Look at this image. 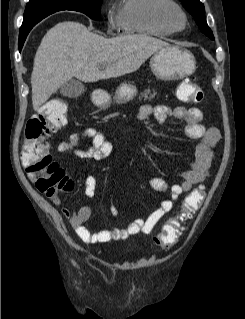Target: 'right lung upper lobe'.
Returning <instances> with one entry per match:
<instances>
[{"label":"right lung upper lobe","instance_id":"1","mask_svg":"<svg viewBox=\"0 0 245 319\" xmlns=\"http://www.w3.org/2000/svg\"><path fill=\"white\" fill-rule=\"evenodd\" d=\"M38 1H47V0H38ZM54 12H57V10L56 9L37 8L35 11H33L32 13H30L29 15H26L24 17V20H27V18H30V21L26 27L21 28L20 30H25V29L33 27L35 24H37L43 18L47 17L48 15H50Z\"/></svg>","mask_w":245,"mask_h":319}]
</instances>
